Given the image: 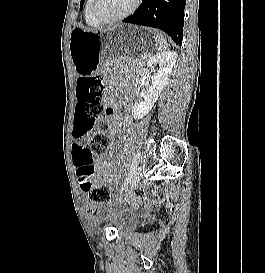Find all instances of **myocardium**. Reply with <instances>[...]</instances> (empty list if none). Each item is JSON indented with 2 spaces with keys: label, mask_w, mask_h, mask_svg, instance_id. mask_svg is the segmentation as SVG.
I'll return each mask as SVG.
<instances>
[{
  "label": "myocardium",
  "mask_w": 265,
  "mask_h": 273,
  "mask_svg": "<svg viewBox=\"0 0 265 273\" xmlns=\"http://www.w3.org/2000/svg\"><path fill=\"white\" fill-rule=\"evenodd\" d=\"M98 3H99V0H92V2H91V14L100 23H102V24H111V23H115V22L124 20L127 17H129L130 15H132L137 10V8L139 7V5L141 3V0H135L133 5L131 6V8L129 10H127L126 12H124V13H122L120 15L113 16V17L103 16L98 10Z\"/></svg>",
  "instance_id": "myocardium-1"
}]
</instances>
